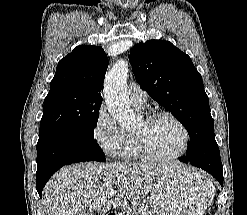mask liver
<instances>
[{
    "instance_id": "obj_1",
    "label": "liver",
    "mask_w": 247,
    "mask_h": 215,
    "mask_svg": "<svg viewBox=\"0 0 247 215\" xmlns=\"http://www.w3.org/2000/svg\"><path fill=\"white\" fill-rule=\"evenodd\" d=\"M180 163H80L65 166L46 184L43 204L48 215H91L92 209L107 212L114 190L124 205L151 193Z\"/></svg>"
}]
</instances>
